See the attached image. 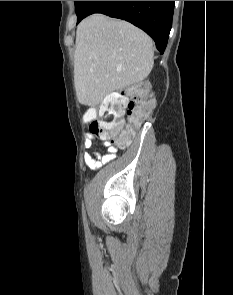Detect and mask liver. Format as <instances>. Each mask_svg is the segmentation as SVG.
Instances as JSON below:
<instances>
[{
    "instance_id": "6515ba94",
    "label": "liver",
    "mask_w": 233,
    "mask_h": 295,
    "mask_svg": "<svg viewBox=\"0 0 233 295\" xmlns=\"http://www.w3.org/2000/svg\"><path fill=\"white\" fill-rule=\"evenodd\" d=\"M152 39L129 22L93 14L80 22L74 53L78 101L95 107L121 88L139 83L154 65Z\"/></svg>"
}]
</instances>
